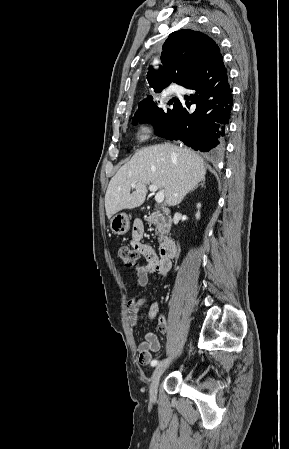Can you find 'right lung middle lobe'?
Masks as SVG:
<instances>
[{"label":"right lung middle lobe","mask_w":289,"mask_h":449,"mask_svg":"<svg viewBox=\"0 0 289 449\" xmlns=\"http://www.w3.org/2000/svg\"><path fill=\"white\" fill-rule=\"evenodd\" d=\"M178 99L173 98L169 104H173V109L163 110L152 98L141 101L138 110L132 119L134 125L137 122H151L155 127L156 134H160L170 123Z\"/></svg>","instance_id":"1"}]
</instances>
